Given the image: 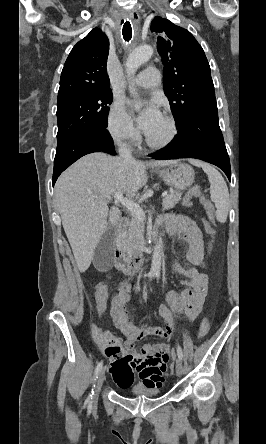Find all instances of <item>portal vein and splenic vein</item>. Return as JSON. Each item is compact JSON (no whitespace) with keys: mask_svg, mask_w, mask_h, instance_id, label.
<instances>
[{"mask_svg":"<svg viewBox=\"0 0 266 444\" xmlns=\"http://www.w3.org/2000/svg\"><path fill=\"white\" fill-rule=\"evenodd\" d=\"M167 195L166 192L162 193L161 197L164 198ZM114 199L116 202L121 203L124 205L133 215H135L138 218H145V213L142 210V208L131 201L130 199L123 196V192L119 191L114 194Z\"/></svg>","mask_w":266,"mask_h":444,"instance_id":"obj_1","label":"portal vein and splenic vein"}]
</instances>
